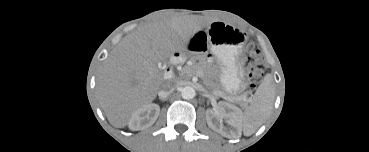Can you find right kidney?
Instances as JSON below:
<instances>
[{
  "label": "right kidney",
  "mask_w": 369,
  "mask_h": 152,
  "mask_svg": "<svg viewBox=\"0 0 369 152\" xmlns=\"http://www.w3.org/2000/svg\"><path fill=\"white\" fill-rule=\"evenodd\" d=\"M160 113L157 104L150 103L136 110L128 122L129 129L132 131L144 130L152 126Z\"/></svg>",
  "instance_id": "ca27d5eb"
}]
</instances>
